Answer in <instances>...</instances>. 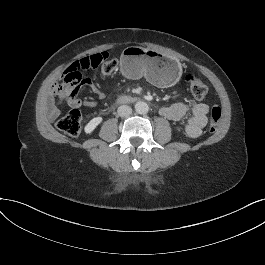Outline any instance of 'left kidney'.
I'll use <instances>...</instances> for the list:
<instances>
[{"label": "left kidney", "mask_w": 265, "mask_h": 265, "mask_svg": "<svg viewBox=\"0 0 265 265\" xmlns=\"http://www.w3.org/2000/svg\"><path fill=\"white\" fill-rule=\"evenodd\" d=\"M174 128H175V130H176L178 133H180V134H184V128H183V127H181V126H175Z\"/></svg>", "instance_id": "1"}]
</instances>
